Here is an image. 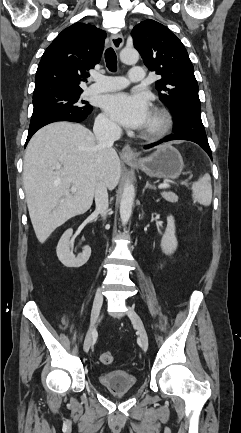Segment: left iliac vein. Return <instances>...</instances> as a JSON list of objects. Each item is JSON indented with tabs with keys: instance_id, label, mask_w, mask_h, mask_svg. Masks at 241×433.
<instances>
[{
	"instance_id": "obj_1",
	"label": "left iliac vein",
	"mask_w": 241,
	"mask_h": 433,
	"mask_svg": "<svg viewBox=\"0 0 241 433\" xmlns=\"http://www.w3.org/2000/svg\"><path fill=\"white\" fill-rule=\"evenodd\" d=\"M127 314L138 331V334H139V337H140V340L142 343V348L144 350H147L148 346H149V340H148V335H147V332H146V329L144 327L142 319L134 311V309L132 307L128 308Z\"/></svg>"
}]
</instances>
